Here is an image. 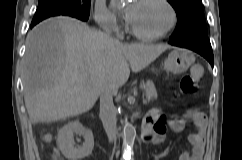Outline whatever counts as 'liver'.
Returning <instances> with one entry per match:
<instances>
[{
  "instance_id": "1",
  "label": "liver",
  "mask_w": 242,
  "mask_h": 160,
  "mask_svg": "<svg viewBox=\"0 0 242 160\" xmlns=\"http://www.w3.org/2000/svg\"><path fill=\"white\" fill-rule=\"evenodd\" d=\"M166 44H123L70 18L43 21L26 38L22 79L30 120L52 122L89 111L102 82L117 91L156 60ZM110 78L109 80L107 78Z\"/></svg>"
}]
</instances>
